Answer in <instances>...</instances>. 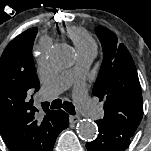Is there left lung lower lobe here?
<instances>
[{
	"label": "left lung lower lobe",
	"mask_w": 151,
	"mask_h": 151,
	"mask_svg": "<svg viewBox=\"0 0 151 151\" xmlns=\"http://www.w3.org/2000/svg\"><path fill=\"white\" fill-rule=\"evenodd\" d=\"M99 128L98 137L86 144L88 151H124L130 144V138L124 132L96 121Z\"/></svg>",
	"instance_id": "0a47b994"
}]
</instances>
